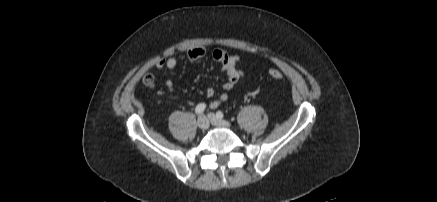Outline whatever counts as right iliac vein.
<instances>
[{
  "mask_svg": "<svg viewBox=\"0 0 437 202\" xmlns=\"http://www.w3.org/2000/svg\"><path fill=\"white\" fill-rule=\"evenodd\" d=\"M197 125L201 130H206L209 128V120L206 116L201 115L198 117Z\"/></svg>",
  "mask_w": 437,
  "mask_h": 202,
  "instance_id": "right-iliac-vein-1",
  "label": "right iliac vein"
}]
</instances>
